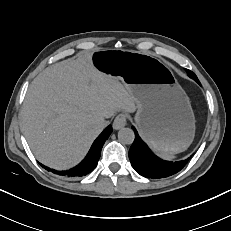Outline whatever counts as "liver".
I'll return each instance as SVG.
<instances>
[{
	"instance_id": "1",
	"label": "liver",
	"mask_w": 231,
	"mask_h": 231,
	"mask_svg": "<svg viewBox=\"0 0 231 231\" xmlns=\"http://www.w3.org/2000/svg\"><path fill=\"white\" fill-rule=\"evenodd\" d=\"M92 53L56 63L30 84L21 128L35 157L57 170L78 164L117 111L134 113L136 99L119 78L98 71Z\"/></svg>"
}]
</instances>
